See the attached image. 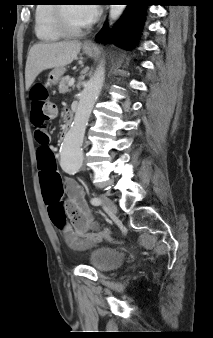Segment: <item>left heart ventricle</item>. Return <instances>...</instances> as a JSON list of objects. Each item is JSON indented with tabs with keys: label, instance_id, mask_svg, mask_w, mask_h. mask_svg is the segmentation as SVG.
I'll use <instances>...</instances> for the list:
<instances>
[{
	"label": "left heart ventricle",
	"instance_id": "1",
	"mask_svg": "<svg viewBox=\"0 0 213 338\" xmlns=\"http://www.w3.org/2000/svg\"><path fill=\"white\" fill-rule=\"evenodd\" d=\"M65 17L68 25L73 29H82L88 26L75 5H67L65 7Z\"/></svg>",
	"mask_w": 213,
	"mask_h": 338
}]
</instances>
